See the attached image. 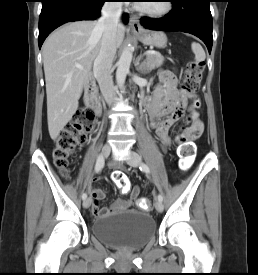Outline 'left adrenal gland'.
Here are the masks:
<instances>
[{"mask_svg":"<svg viewBox=\"0 0 258 275\" xmlns=\"http://www.w3.org/2000/svg\"><path fill=\"white\" fill-rule=\"evenodd\" d=\"M141 58H142V55H140L138 57V59L136 60V62H135L134 65H135V68H136L137 71L143 73L144 71H143L142 67L140 66V60H141Z\"/></svg>","mask_w":258,"mask_h":275,"instance_id":"left-adrenal-gland-1","label":"left adrenal gland"}]
</instances>
